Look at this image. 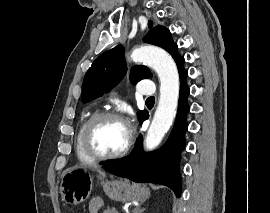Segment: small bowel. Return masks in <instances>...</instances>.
I'll return each instance as SVG.
<instances>
[{"mask_svg":"<svg viewBox=\"0 0 270 213\" xmlns=\"http://www.w3.org/2000/svg\"><path fill=\"white\" fill-rule=\"evenodd\" d=\"M101 203L100 201L93 199L89 202V213H99V210L101 209Z\"/></svg>","mask_w":270,"mask_h":213,"instance_id":"1","label":"small bowel"}]
</instances>
